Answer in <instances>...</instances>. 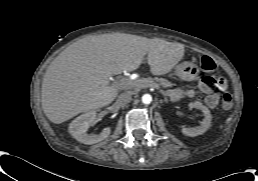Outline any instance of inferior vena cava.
Segmentation results:
<instances>
[{"mask_svg":"<svg viewBox=\"0 0 258 181\" xmlns=\"http://www.w3.org/2000/svg\"><path fill=\"white\" fill-rule=\"evenodd\" d=\"M132 100V96L130 93H121L119 96H118V99H117V103L120 105V106H123V105H126L128 104L129 102H131Z\"/></svg>","mask_w":258,"mask_h":181,"instance_id":"1","label":"inferior vena cava"}]
</instances>
